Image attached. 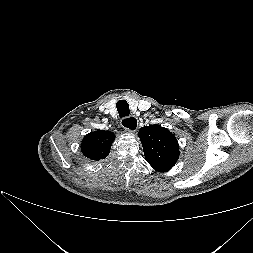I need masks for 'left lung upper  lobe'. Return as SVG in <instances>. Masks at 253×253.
Instances as JSON below:
<instances>
[{
  "instance_id": "1",
  "label": "left lung upper lobe",
  "mask_w": 253,
  "mask_h": 253,
  "mask_svg": "<svg viewBox=\"0 0 253 253\" xmlns=\"http://www.w3.org/2000/svg\"><path fill=\"white\" fill-rule=\"evenodd\" d=\"M140 137L146 161L159 172L173 167L179 157V145L176 137L164 127L150 125L142 127Z\"/></svg>"
}]
</instances>
